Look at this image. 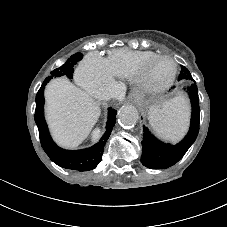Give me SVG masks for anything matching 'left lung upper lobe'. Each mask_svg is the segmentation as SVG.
Listing matches in <instances>:
<instances>
[{"label": "left lung upper lobe", "mask_w": 227, "mask_h": 227, "mask_svg": "<svg viewBox=\"0 0 227 227\" xmlns=\"http://www.w3.org/2000/svg\"><path fill=\"white\" fill-rule=\"evenodd\" d=\"M178 80H193L191 77V74L188 69L185 68V66H181V71L178 77Z\"/></svg>", "instance_id": "5c2ea615"}]
</instances>
